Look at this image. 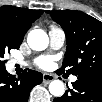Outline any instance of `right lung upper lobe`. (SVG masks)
Listing matches in <instances>:
<instances>
[{
	"mask_svg": "<svg viewBox=\"0 0 102 102\" xmlns=\"http://www.w3.org/2000/svg\"><path fill=\"white\" fill-rule=\"evenodd\" d=\"M43 14V10H30L15 6L0 7V36L22 43L32 23Z\"/></svg>",
	"mask_w": 102,
	"mask_h": 102,
	"instance_id": "right-lung-upper-lobe-1",
	"label": "right lung upper lobe"
}]
</instances>
